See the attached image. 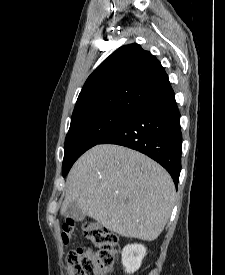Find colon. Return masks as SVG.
I'll list each match as a JSON object with an SVG mask.
<instances>
[{
	"mask_svg": "<svg viewBox=\"0 0 225 275\" xmlns=\"http://www.w3.org/2000/svg\"><path fill=\"white\" fill-rule=\"evenodd\" d=\"M74 230L72 221L63 225L62 239L68 243ZM82 231L93 247L83 246L68 253L66 269L69 275H108L120 250L118 239L107 227L87 222Z\"/></svg>",
	"mask_w": 225,
	"mask_h": 275,
	"instance_id": "1",
	"label": "colon"
}]
</instances>
